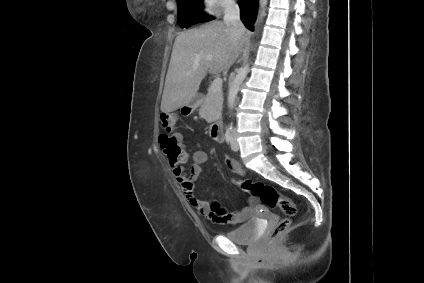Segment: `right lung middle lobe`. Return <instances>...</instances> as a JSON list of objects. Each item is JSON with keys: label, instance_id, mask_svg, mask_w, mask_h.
<instances>
[{"label": "right lung middle lobe", "instance_id": "obj_1", "mask_svg": "<svg viewBox=\"0 0 424 283\" xmlns=\"http://www.w3.org/2000/svg\"><path fill=\"white\" fill-rule=\"evenodd\" d=\"M176 1L178 7V23L181 28H187L193 24L214 19L203 12V0Z\"/></svg>", "mask_w": 424, "mask_h": 283}]
</instances>
